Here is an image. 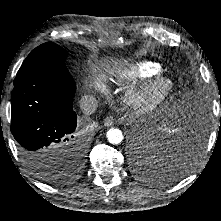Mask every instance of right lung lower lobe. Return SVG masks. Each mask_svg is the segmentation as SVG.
I'll return each mask as SVG.
<instances>
[{"label": "right lung lower lobe", "instance_id": "right-lung-lower-lobe-1", "mask_svg": "<svg viewBox=\"0 0 221 221\" xmlns=\"http://www.w3.org/2000/svg\"><path fill=\"white\" fill-rule=\"evenodd\" d=\"M76 87L65 66L29 76L11 94V132L30 164L49 160L81 164L86 145L74 131L72 100ZM39 162V163H38Z\"/></svg>", "mask_w": 221, "mask_h": 221}]
</instances>
